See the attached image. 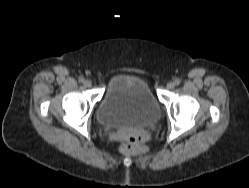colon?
I'll return each instance as SVG.
<instances>
[{
	"instance_id": "colon-1",
	"label": "colon",
	"mask_w": 249,
	"mask_h": 188,
	"mask_svg": "<svg viewBox=\"0 0 249 188\" xmlns=\"http://www.w3.org/2000/svg\"><path fill=\"white\" fill-rule=\"evenodd\" d=\"M139 145V140L135 136H129L120 144V149L123 152H133Z\"/></svg>"
}]
</instances>
